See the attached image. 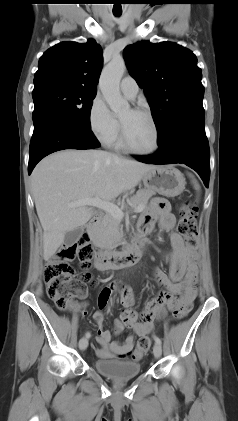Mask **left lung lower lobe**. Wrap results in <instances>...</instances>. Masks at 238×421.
I'll return each instance as SVG.
<instances>
[{"mask_svg":"<svg viewBox=\"0 0 238 421\" xmlns=\"http://www.w3.org/2000/svg\"><path fill=\"white\" fill-rule=\"evenodd\" d=\"M159 149L153 155L137 156L147 164L183 163L194 169L206 187L210 177V152L205 134V114L181 120L164 138L158 141Z\"/></svg>","mask_w":238,"mask_h":421,"instance_id":"left-lung-lower-lobe-1","label":"left lung lower lobe"}]
</instances>
